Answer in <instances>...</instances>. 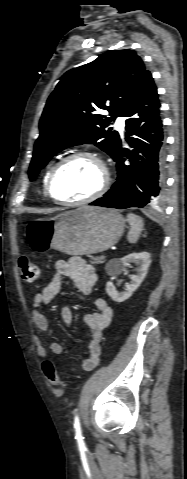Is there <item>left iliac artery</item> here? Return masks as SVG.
<instances>
[{
  "mask_svg": "<svg viewBox=\"0 0 187 479\" xmlns=\"http://www.w3.org/2000/svg\"><path fill=\"white\" fill-rule=\"evenodd\" d=\"M74 428L76 431V439L81 441L83 439L82 434H81V427H80V422H79V417L76 414L74 418Z\"/></svg>",
  "mask_w": 187,
  "mask_h": 479,
  "instance_id": "44dca946",
  "label": "left iliac artery"
}]
</instances>
